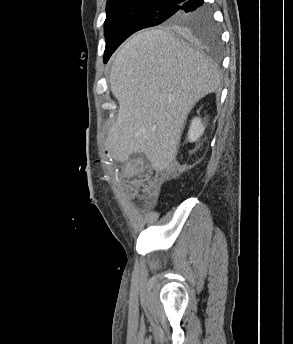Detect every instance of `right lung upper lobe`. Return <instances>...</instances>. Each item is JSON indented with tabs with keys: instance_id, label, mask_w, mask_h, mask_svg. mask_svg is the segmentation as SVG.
Listing matches in <instances>:
<instances>
[{
	"instance_id": "obj_1",
	"label": "right lung upper lobe",
	"mask_w": 293,
	"mask_h": 344,
	"mask_svg": "<svg viewBox=\"0 0 293 344\" xmlns=\"http://www.w3.org/2000/svg\"><path fill=\"white\" fill-rule=\"evenodd\" d=\"M141 2V1H160V2H168V3H172V4H181L183 3L185 0H108L107 4H114V3H125V2ZM164 25L171 27L170 25L164 23ZM172 28V27H171Z\"/></svg>"
}]
</instances>
